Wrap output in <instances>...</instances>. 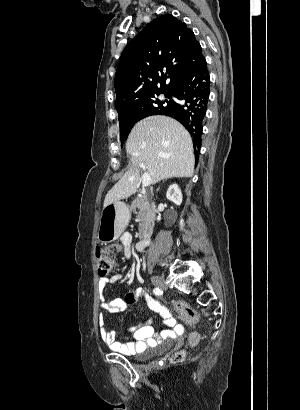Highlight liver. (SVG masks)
Returning <instances> with one entry per match:
<instances>
[{"mask_svg":"<svg viewBox=\"0 0 300 410\" xmlns=\"http://www.w3.org/2000/svg\"><path fill=\"white\" fill-rule=\"evenodd\" d=\"M126 152L132 165L107 193L104 207L136 193L141 164L150 175L151 184L172 177H192L193 142L188 131L175 119L154 115L138 122L132 129Z\"/></svg>","mask_w":300,"mask_h":410,"instance_id":"obj_1","label":"liver"}]
</instances>
